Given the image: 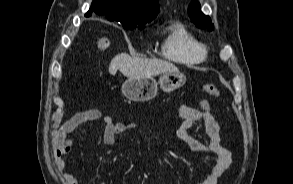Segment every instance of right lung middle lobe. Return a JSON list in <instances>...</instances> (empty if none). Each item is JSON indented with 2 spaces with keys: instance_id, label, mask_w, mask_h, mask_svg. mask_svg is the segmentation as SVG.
Instances as JSON below:
<instances>
[{
  "instance_id": "obj_1",
  "label": "right lung middle lobe",
  "mask_w": 293,
  "mask_h": 184,
  "mask_svg": "<svg viewBox=\"0 0 293 184\" xmlns=\"http://www.w3.org/2000/svg\"><path fill=\"white\" fill-rule=\"evenodd\" d=\"M123 27L130 30L135 28L142 29L144 27V23L126 24V25H123Z\"/></svg>"
}]
</instances>
